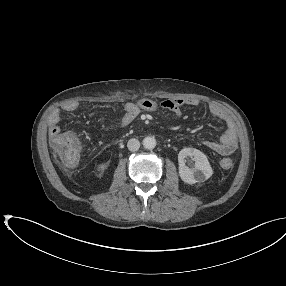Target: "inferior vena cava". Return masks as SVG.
I'll return each instance as SVG.
<instances>
[{
  "instance_id": "obj_1",
  "label": "inferior vena cava",
  "mask_w": 286,
  "mask_h": 286,
  "mask_svg": "<svg viewBox=\"0 0 286 286\" xmlns=\"http://www.w3.org/2000/svg\"><path fill=\"white\" fill-rule=\"evenodd\" d=\"M127 147L130 151L135 152L140 148V142L138 139L132 138L128 141Z\"/></svg>"
}]
</instances>
